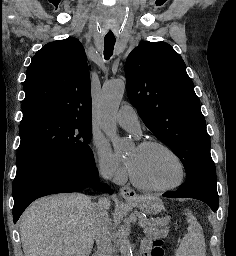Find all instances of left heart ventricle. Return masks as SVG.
<instances>
[{
    "mask_svg": "<svg viewBox=\"0 0 236 256\" xmlns=\"http://www.w3.org/2000/svg\"><path fill=\"white\" fill-rule=\"evenodd\" d=\"M127 162L136 178L150 187L170 185L178 180L181 173L177 160L167 151L158 148H134L127 155Z\"/></svg>",
    "mask_w": 236,
    "mask_h": 256,
    "instance_id": "left-heart-ventricle-1",
    "label": "left heart ventricle"
}]
</instances>
